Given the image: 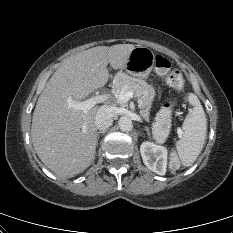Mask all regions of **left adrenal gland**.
I'll use <instances>...</instances> for the list:
<instances>
[{"label":"left adrenal gland","instance_id":"left-adrenal-gland-1","mask_svg":"<svg viewBox=\"0 0 233 233\" xmlns=\"http://www.w3.org/2000/svg\"><path fill=\"white\" fill-rule=\"evenodd\" d=\"M145 130L147 131L148 135H150V131H149L148 127H145Z\"/></svg>","mask_w":233,"mask_h":233}]
</instances>
